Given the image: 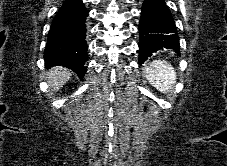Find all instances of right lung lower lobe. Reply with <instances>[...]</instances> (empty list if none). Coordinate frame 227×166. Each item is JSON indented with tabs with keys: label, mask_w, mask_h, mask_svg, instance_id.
<instances>
[{
	"label": "right lung lower lobe",
	"mask_w": 227,
	"mask_h": 166,
	"mask_svg": "<svg viewBox=\"0 0 227 166\" xmlns=\"http://www.w3.org/2000/svg\"><path fill=\"white\" fill-rule=\"evenodd\" d=\"M88 11L81 0H65L55 16L44 52L47 68L62 65L80 78L86 73V25Z\"/></svg>",
	"instance_id": "right-lung-lower-lobe-1"
}]
</instances>
